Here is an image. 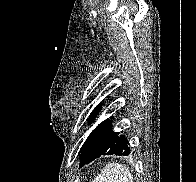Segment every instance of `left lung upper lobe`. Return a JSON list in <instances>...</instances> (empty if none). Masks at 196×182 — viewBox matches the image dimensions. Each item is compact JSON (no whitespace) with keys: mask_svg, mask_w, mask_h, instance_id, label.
I'll return each mask as SVG.
<instances>
[{"mask_svg":"<svg viewBox=\"0 0 196 182\" xmlns=\"http://www.w3.org/2000/svg\"><path fill=\"white\" fill-rule=\"evenodd\" d=\"M101 105L99 104L90 114L89 122H92L94 118L97 116L98 112L100 111ZM112 126L108 120L103 121L99 124L89 135L87 140L82 146L80 152L81 155L87 154L94 150L98 145H100L111 133H112ZM80 155V156H81Z\"/></svg>","mask_w":196,"mask_h":182,"instance_id":"obj_1","label":"left lung upper lobe"}]
</instances>
